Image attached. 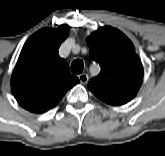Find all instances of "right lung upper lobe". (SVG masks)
I'll use <instances>...</instances> for the list:
<instances>
[{
	"instance_id": "obj_1",
	"label": "right lung upper lobe",
	"mask_w": 165,
	"mask_h": 156,
	"mask_svg": "<svg viewBox=\"0 0 165 156\" xmlns=\"http://www.w3.org/2000/svg\"><path fill=\"white\" fill-rule=\"evenodd\" d=\"M68 34L66 25L57 29L44 28L24 44L11 77L12 93L24 109L32 113L46 112L79 83L58 54Z\"/></svg>"
}]
</instances>
